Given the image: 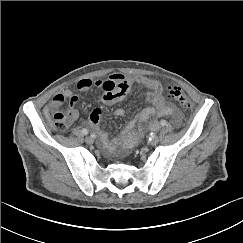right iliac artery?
Returning a JSON list of instances; mask_svg holds the SVG:
<instances>
[{
  "label": "right iliac artery",
  "instance_id": "right-iliac-artery-1",
  "mask_svg": "<svg viewBox=\"0 0 243 243\" xmlns=\"http://www.w3.org/2000/svg\"><path fill=\"white\" fill-rule=\"evenodd\" d=\"M82 133L84 134V135H87L88 134V130L87 129H82Z\"/></svg>",
  "mask_w": 243,
  "mask_h": 243
}]
</instances>
